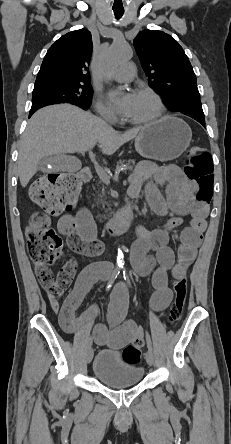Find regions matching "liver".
I'll return each instance as SVG.
<instances>
[{"label": "liver", "mask_w": 231, "mask_h": 444, "mask_svg": "<svg viewBox=\"0 0 231 444\" xmlns=\"http://www.w3.org/2000/svg\"><path fill=\"white\" fill-rule=\"evenodd\" d=\"M145 127L120 133L102 119L70 104L39 109L29 120L19 142L20 183L22 187L27 186L39 168V161L44 157L83 153L97 143L103 154L112 155Z\"/></svg>", "instance_id": "liver-1"}]
</instances>
